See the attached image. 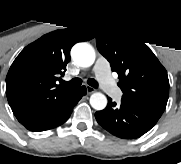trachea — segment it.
<instances>
[{
  "label": "trachea",
  "instance_id": "3493384b",
  "mask_svg": "<svg viewBox=\"0 0 181 164\" xmlns=\"http://www.w3.org/2000/svg\"><path fill=\"white\" fill-rule=\"evenodd\" d=\"M88 85L93 88H98V83L95 79H88ZM61 84L67 87H78L82 84V80L80 78H74L71 81H61Z\"/></svg>",
  "mask_w": 181,
  "mask_h": 164
}]
</instances>
